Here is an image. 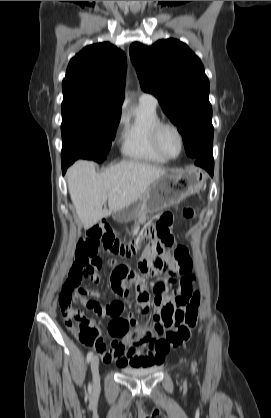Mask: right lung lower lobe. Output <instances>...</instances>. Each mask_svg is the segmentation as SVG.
I'll return each instance as SVG.
<instances>
[{"mask_svg": "<svg viewBox=\"0 0 271 418\" xmlns=\"http://www.w3.org/2000/svg\"><path fill=\"white\" fill-rule=\"evenodd\" d=\"M73 162L70 160H63L62 159V171L63 174L65 173V171L67 170L68 166L71 165Z\"/></svg>", "mask_w": 271, "mask_h": 418, "instance_id": "obj_1", "label": "right lung lower lobe"}]
</instances>
